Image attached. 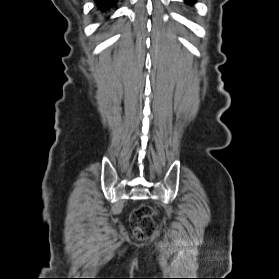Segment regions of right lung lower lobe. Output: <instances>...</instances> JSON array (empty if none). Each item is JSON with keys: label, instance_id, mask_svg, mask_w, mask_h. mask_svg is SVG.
I'll list each match as a JSON object with an SVG mask.
<instances>
[{"label": "right lung lower lobe", "instance_id": "obj_1", "mask_svg": "<svg viewBox=\"0 0 279 279\" xmlns=\"http://www.w3.org/2000/svg\"><path fill=\"white\" fill-rule=\"evenodd\" d=\"M96 3L100 11L107 12L111 6L116 5L117 0H96Z\"/></svg>", "mask_w": 279, "mask_h": 279}]
</instances>
